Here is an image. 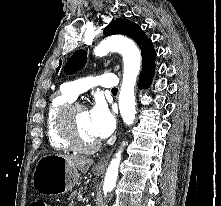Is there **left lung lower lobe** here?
I'll return each mask as SVG.
<instances>
[{"label": "left lung lower lobe", "mask_w": 221, "mask_h": 206, "mask_svg": "<svg viewBox=\"0 0 221 206\" xmlns=\"http://www.w3.org/2000/svg\"><path fill=\"white\" fill-rule=\"evenodd\" d=\"M153 75H154V72L140 77V79H139L140 87H147V86H149L150 83H151Z\"/></svg>", "instance_id": "0a47b994"}]
</instances>
